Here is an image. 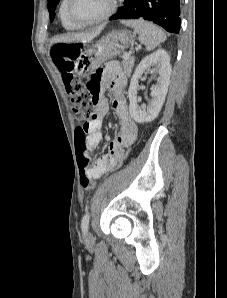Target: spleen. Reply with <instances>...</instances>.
<instances>
[{"label":"spleen","instance_id":"obj_1","mask_svg":"<svg viewBox=\"0 0 227 298\" xmlns=\"http://www.w3.org/2000/svg\"><path fill=\"white\" fill-rule=\"evenodd\" d=\"M122 23L135 30L139 41L145 45L148 51L166 40V35L161 28L143 19L125 20Z\"/></svg>","mask_w":227,"mask_h":298}]
</instances>
